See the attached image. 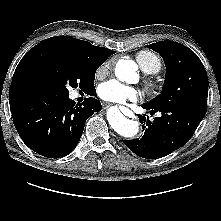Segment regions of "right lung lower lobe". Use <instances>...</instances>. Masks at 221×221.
Instances as JSON below:
<instances>
[{
  "instance_id": "98d812e1",
  "label": "right lung lower lobe",
  "mask_w": 221,
  "mask_h": 221,
  "mask_svg": "<svg viewBox=\"0 0 221 221\" xmlns=\"http://www.w3.org/2000/svg\"><path fill=\"white\" fill-rule=\"evenodd\" d=\"M93 94L95 88L87 90ZM93 96V95H91ZM14 125L24 143L36 153L60 158L77 146L88 117L101 110L95 98L78 105L68 96L15 88L9 92Z\"/></svg>"
}]
</instances>
